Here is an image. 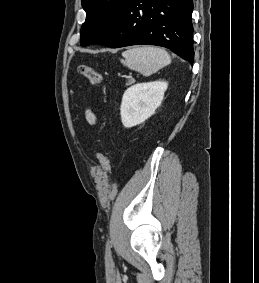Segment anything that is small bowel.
<instances>
[{
    "mask_svg": "<svg viewBox=\"0 0 259 283\" xmlns=\"http://www.w3.org/2000/svg\"><path fill=\"white\" fill-rule=\"evenodd\" d=\"M86 119L91 124H94L96 122V116L90 111L86 112Z\"/></svg>",
    "mask_w": 259,
    "mask_h": 283,
    "instance_id": "small-bowel-1",
    "label": "small bowel"
}]
</instances>
